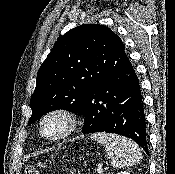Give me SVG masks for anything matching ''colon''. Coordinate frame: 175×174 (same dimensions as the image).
I'll list each match as a JSON object with an SVG mask.
<instances>
[{
  "label": "colon",
  "mask_w": 175,
  "mask_h": 174,
  "mask_svg": "<svg viewBox=\"0 0 175 174\" xmlns=\"http://www.w3.org/2000/svg\"><path fill=\"white\" fill-rule=\"evenodd\" d=\"M41 167H37V166H29L27 167L25 174H41Z\"/></svg>",
  "instance_id": "obj_1"
}]
</instances>
